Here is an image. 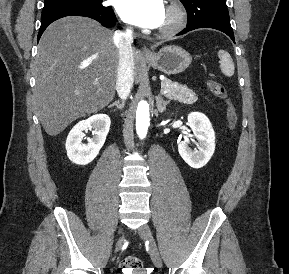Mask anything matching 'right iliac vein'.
I'll return each instance as SVG.
<instances>
[{
    "mask_svg": "<svg viewBox=\"0 0 289 274\" xmlns=\"http://www.w3.org/2000/svg\"><path fill=\"white\" fill-rule=\"evenodd\" d=\"M124 241H125V237H124V236H121V237L119 238V240L117 241V243H116V248H117L118 250L122 247Z\"/></svg>",
    "mask_w": 289,
    "mask_h": 274,
    "instance_id": "right-iliac-vein-1",
    "label": "right iliac vein"
}]
</instances>
